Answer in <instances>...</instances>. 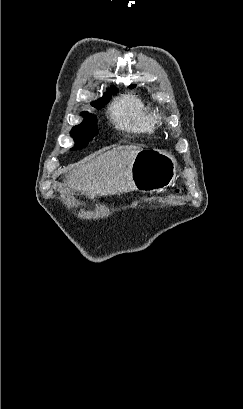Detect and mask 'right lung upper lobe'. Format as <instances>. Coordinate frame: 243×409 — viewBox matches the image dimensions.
<instances>
[{
    "mask_svg": "<svg viewBox=\"0 0 243 409\" xmlns=\"http://www.w3.org/2000/svg\"><path fill=\"white\" fill-rule=\"evenodd\" d=\"M116 91H117V89L114 86H112L111 90H109V92H116ZM106 95H109V94L108 93L105 94L100 100L93 102L92 105H95V104H98L99 102H101L105 98Z\"/></svg>",
    "mask_w": 243,
    "mask_h": 409,
    "instance_id": "1",
    "label": "right lung upper lobe"
}]
</instances>
